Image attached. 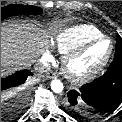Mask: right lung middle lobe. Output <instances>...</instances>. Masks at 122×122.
I'll return each instance as SVG.
<instances>
[{
  "label": "right lung middle lobe",
  "instance_id": "dd1d6c3e",
  "mask_svg": "<svg viewBox=\"0 0 122 122\" xmlns=\"http://www.w3.org/2000/svg\"><path fill=\"white\" fill-rule=\"evenodd\" d=\"M43 12L41 8L29 5L11 4L1 8V20L15 15H39Z\"/></svg>",
  "mask_w": 122,
  "mask_h": 122
}]
</instances>
